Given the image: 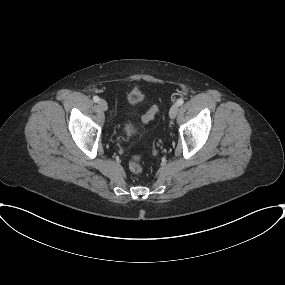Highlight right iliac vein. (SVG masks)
I'll use <instances>...</instances> for the list:
<instances>
[{"instance_id": "63e3f726", "label": "right iliac vein", "mask_w": 285, "mask_h": 285, "mask_svg": "<svg viewBox=\"0 0 285 285\" xmlns=\"http://www.w3.org/2000/svg\"><path fill=\"white\" fill-rule=\"evenodd\" d=\"M98 106L102 111H106L108 109L107 102L103 99L99 100Z\"/></svg>"}]
</instances>
